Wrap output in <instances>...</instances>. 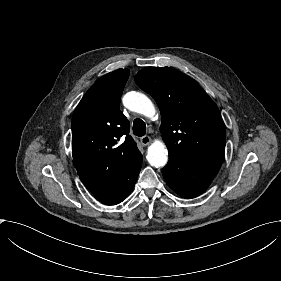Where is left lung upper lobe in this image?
I'll use <instances>...</instances> for the list:
<instances>
[{
    "instance_id": "obj_1",
    "label": "left lung upper lobe",
    "mask_w": 281,
    "mask_h": 281,
    "mask_svg": "<svg viewBox=\"0 0 281 281\" xmlns=\"http://www.w3.org/2000/svg\"><path fill=\"white\" fill-rule=\"evenodd\" d=\"M135 81L159 106L169 156L222 164L225 125L216 104L194 79L174 68L146 67Z\"/></svg>"
}]
</instances>
